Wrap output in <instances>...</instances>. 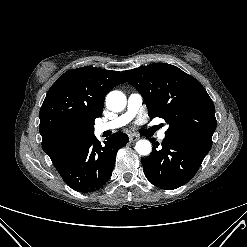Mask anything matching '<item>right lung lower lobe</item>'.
<instances>
[{"label":"right lung lower lobe","instance_id":"98d812e1","mask_svg":"<svg viewBox=\"0 0 247 247\" xmlns=\"http://www.w3.org/2000/svg\"><path fill=\"white\" fill-rule=\"evenodd\" d=\"M127 142L126 136L115 133L101 145L92 134L69 145L52 163L72 189L93 192L110 178L117 151Z\"/></svg>","mask_w":247,"mask_h":247}]
</instances>
